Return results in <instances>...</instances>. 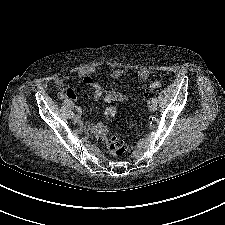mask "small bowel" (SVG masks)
I'll use <instances>...</instances> for the list:
<instances>
[{
    "label": "small bowel",
    "mask_w": 225,
    "mask_h": 225,
    "mask_svg": "<svg viewBox=\"0 0 225 225\" xmlns=\"http://www.w3.org/2000/svg\"><path fill=\"white\" fill-rule=\"evenodd\" d=\"M125 71L121 69H115L110 71H103L98 69L93 70H87L83 71L79 74V77L81 78L82 82L93 88V97L95 100H99L102 98V96H105V101L107 103L112 102H124L129 100L130 98L134 97L136 93L139 91L141 84L144 83L150 76V71L146 69H140L137 72V84L132 87L127 93H121L118 91H115L113 89H104L100 84L95 82L92 78V75L94 74H104L107 77L110 78H119L122 75H124ZM69 79L68 76H61L56 78L54 81V87L60 91V96L67 97L72 100H76L77 96L75 92L67 86L66 81ZM93 123L89 122L84 125V130L87 133L92 132L93 130Z\"/></svg>",
    "instance_id": "small-bowel-1"
}]
</instances>
